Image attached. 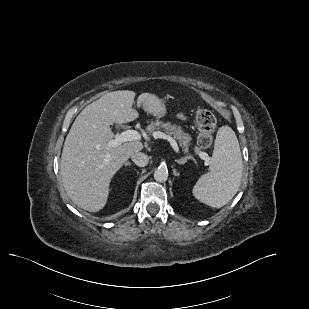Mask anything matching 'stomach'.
Instances as JSON below:
<instances>
[{"label":"stomach","instance_id":"obj_1","mask_svg":"<svg viewBox=\"0 0 309 309\" xmlns=\"http://www.w3.org/2000/svg\"><path fill=\"white\" fill-rule=\"evenodd\" d=\"M143 109L157 118H162L166 115V106L163 100L156 96H152L143 103Z\"/></svg>","mask_w":309,"mask_h":309}]
</instances>
